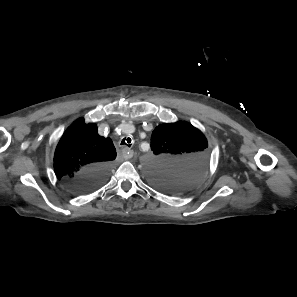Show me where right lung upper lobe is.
Listing matches in <instances>:
<instances>
[{"mask_svg":"<svg viewBox=\"0 0 297 297\" xmlns=\"http://www.w3.org/2000/svg\"><path fill=\"white\" fill-rule=\"evenodd\" d=\"M115 158L112 140L99 136L94 123L85 124L79 119L66 130L56 148L54 170L59 179L68 182L90 166L111 165Z\"/></svg>","mask_w":297,"mask_h":297,"instance_id":"cb5924a9","label":"right lung upper lobe"}]
</instances>
